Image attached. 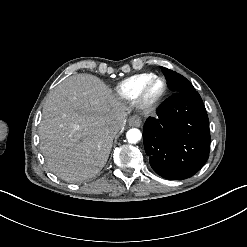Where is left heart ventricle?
<instances>
[{"label": "left heart ventricle", "instance_id": "obj_1", "mask_svg": "<svg viewBox=\"0 0 247 247\" xmlns=\"http://www.w3.org/2000/svg\"><path fill=\"white\" fill-rule=\"evenodd\" d=\"M163 83L161 81L155 82L148 90V97L153 98L157 96L163 90Z\"/></svg>", "mask_w": 247, "mask_h": 247}]
</instances>
